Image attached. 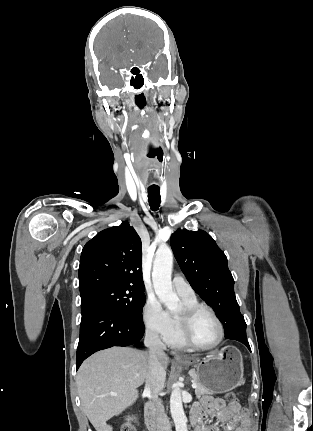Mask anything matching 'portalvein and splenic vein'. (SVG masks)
<instances>
[{"label":"portal vein and splenic vein","instance_id":"portal-vein-and-splenic-vein-1","mask_svg":"<svg viewBox=\"0 0 313 431\" xmlns=\"http://www.w3.org/2000/svg\"><path fill=\"white\" fill-rule=\"evenodd\" d=\"M192 388H194V389L197 388V384L195 382L192 383Z\"/></svg>","mask_w":313,"mask_h":431}]
</instances>
